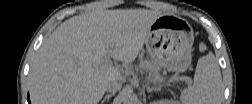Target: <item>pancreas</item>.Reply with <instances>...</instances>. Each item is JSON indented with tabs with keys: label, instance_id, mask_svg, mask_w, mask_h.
I'll use <instances>...</instances> for the list:
<instances>
[{
	"label": "pancreas",
	"instance_id": "1",
	"mask_svg": "<svg viewBox=\"0 0 252 104\" xmlns=\"http://www.w3.org/2000/svg\"><path fill=\"white\" fill-rule=\"evenodd\" d=\"M140 68L144 71L149 72L150 79L154 82H161L162 76L160 75V66L149 61H144L140 64Z\"/></svg>",
	"mask_w": 252,
	"mask_h": 104
}]
</instances>
